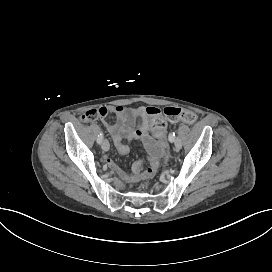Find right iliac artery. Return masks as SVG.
I'll list each match as a JSON object with an SVG mask.
<instances>
[{
    "mask_svg": "<svg viewBox=\"0 0 272 272\" xmlns=\"http://www.w3.org/2000/svg\"><path fill=\"white\" fill-rule=\"evenodd\" d=\"M102 139H103V132L101 131L100 134L98 135L97 143L100 144L102 142Z\"/></svg>",
    "mask_w": 272,
    "mask_h": 272,
    "instance_id": "right-iliac-artery-1",
    "label": "right iliac artery"
}]
</instances>
